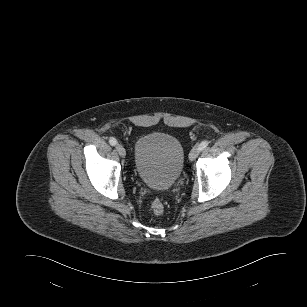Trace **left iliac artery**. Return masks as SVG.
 <instances>
[{"label":"left iliac artery","instance_id":"1","mask_svg":"<svg viewBox=\"0 0 307 307\" xmlns=\"http://www.w3.org/2000/svg\"><path fill=\"white\" fill-rule=\"evenodd\" d=\"M209 142L208 141H202L200 144H199V149L200 150H203L205 149L207 146H208Z\"/></svg>","mask_w":307,"mask_h":307}]
</instances>
